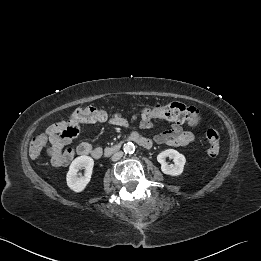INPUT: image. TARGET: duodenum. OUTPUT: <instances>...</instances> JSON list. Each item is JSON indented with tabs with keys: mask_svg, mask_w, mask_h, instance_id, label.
Wrapping results in <instances>:
<instances>
[{
	"mask_svg": "<svg viewBox=\"0 0 261 261\" xmlns=\"http://www.w3.org/2000/svg\"><path fill=\"white\" fill-rule=\"evenodd\" d=\"M127 140L134 142V143H137V144H139L140 146H142L143 148H146V149H148L152 146V142L149 139L139 135L138 133L130 134L129 137L127 138ZM120 147H121V144L109 146V147L105 148L104 155L109 156V155L115 153L116 151H118L120 149Z\"/></svg>",
	"mask_w": 261,
	"mask_h": 261,
	"instance_id": "1",
	"label": "duodenum"
}]
</instances>
